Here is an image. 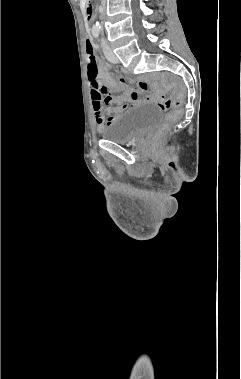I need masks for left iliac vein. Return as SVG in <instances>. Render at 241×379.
<instances>
[{
    "label": "left iliac vein",
    "mask_w": 241,
    "mask_h": 379,
    "mask_svg": "<svg viewBox=\"0 0 241 379\" xmlns=\"http://www.w3.org/2000/svg\"><path fill=\"white\" fill-rule=\"evenodd\" d=\"M104 53L106 58L112 62V63H118V58L117 56L113 53V51L110 49L108 45L104 46Z\"/></svg>",
    "instance_id": "4c4485c4"
}]
</instances>
